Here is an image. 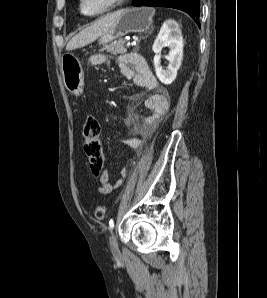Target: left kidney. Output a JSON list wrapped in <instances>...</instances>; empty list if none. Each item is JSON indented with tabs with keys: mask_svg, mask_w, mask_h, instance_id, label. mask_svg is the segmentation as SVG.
I'll use <instances>...</instances> for the list:
<instances>
[{
	"mask_svg": "<svg viewBox=\"0 0 267 298\" xmlns=\"http://www.w3.org/2000/svg\"><path fill=\"white\" fill-rule=\"evenodd\" d=\"M164 47H169L170 52L166 56L169 61L168 67L164 70L161 66V51ZM154 56V67L157 78L165 85L171 84L177 76V71L181 66L183 57V37L181 29L175 20H166L152 47Z\"/></svg>",
	"mask_w": 267,
	"mask_h": 298,
	"instance_id": "1",
	"label": "left kidney"
}]
</instances>
